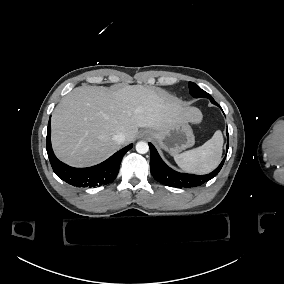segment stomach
Instances as JSON below:
<instances>
[{
	"label": "stomach",
	"mask_w": 284,
	"mask_h": 284,
	"mask_svg": "<svg viewBox=\"0 0 284 284\" xmlns=\"http://www.w3.org/2000/svg\"><path fill=\"white\" fill-rule=\"evenodd\" d=\"M146 137L159 140L160 145L170 154H176L195 143L193 132L188 123H177L165 130H146Z\"/></svg>",
	"instance_id": "0dacf381"
}]
</instances>
